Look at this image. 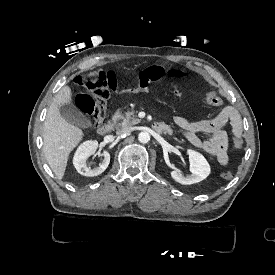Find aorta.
Listing matches in <instances>:
<instances>
[{"instance_id":"1","label":"aorta","mask_w":275,"mask_h":275,"mask_svg":"<svg viewBox=\"0 0 275 275\" xmlns=\"http://www.w3.org/2000/svg\"><path fill=\"white\" fill-rule=\"evenodd\" d=\"M138 140L140 143H148L150 141V134L146 131L140 132L138 134Z\"/></svg>"}]
</instances>
